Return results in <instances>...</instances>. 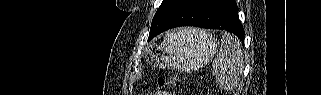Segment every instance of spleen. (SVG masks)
I'll list each match as a JSON object with an SVG mask.
<instances>
[{
	"label": "spleen",
	"instance_id": "3e777b00",
	"mask_svg": "<svg viewBox=\"0 0 321 95\" xmlns=\"http://www.w3.org/2000/svg\"><path fill=\"white\" fill-rule=\"evenodd\" d=\"M243 64V53L238 40L224 32L221 46L213 62L217 86L223 90L236 88Z\"/></svg>",
	"mask_w": 321,
	"mask_h": 95
}]
</instances>
